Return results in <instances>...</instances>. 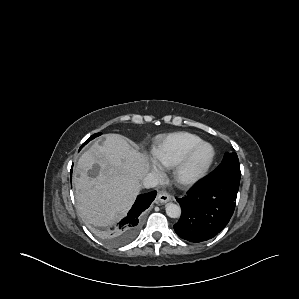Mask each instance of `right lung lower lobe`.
<instances>
[{"label":"right lung lower lobe","mask_w":299,"mask_h":299,"mask_svg":"<svg viewBox=\"0 0 299 299\" xmlns=\"http://www.w3.org/2000/svg\"><path fill=\"white\" fill-rule=\"evenodd\" d=\"M156 194V191H152L139 195L127 217L119 222L118 228L113 233L106 235V239L112 244H124L130 241L139 229L142 216L155 199Z\"/></svg>","instance_id":"right-lung-lower-lobe-1"}]
</instances>
